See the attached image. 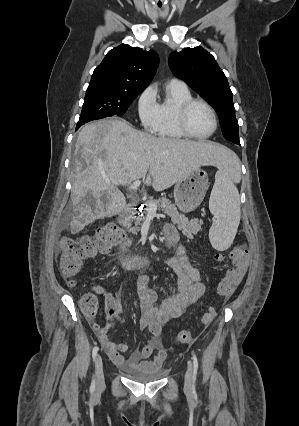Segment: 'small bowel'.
Returning a JSON list of instances; mask_svg holds the SVG:
<instances>
[{"mask_svg": "<svg viewBox=\"0 0 299 426\" xmlns=\"http://www.w3.org/2000/svg\"><path fill=\"white\" fill-rule=\"evenodd\" d=\"M164 235L168 244H178L177 257L164 260L167 267L176 274L177 282L171 288L170 294L157 303L158 295L151 287L149 277L141 274L137 278L136 289L141 310L140 328L148 332L144 346L134 349L126 359L123 353L128 351V345L115 343L108 336L109 330L115 325L119 313V301L115 295L102 288L97 292L104 298L107 324L101 326L93 319V330L106 350L111 361L120 368L153 369L162 367L167 353L161 341L164 324L179 317L205 292L201 274L190 262L186 247L180 242V236L173 225H166Z\"/></svg>", "mask_w": 299, "mask_h": 426, "instance_id": "small-bowel-1", "label": "small bowel"}]
</instances>
